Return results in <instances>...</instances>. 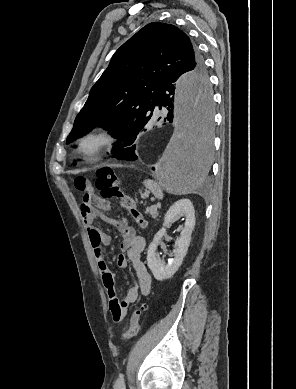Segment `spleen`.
Returning a JSON list of instances; mask_svg holds the SVG:
<instances>
[{
    "label": "spleen",
    "mask_w": 296,
    "mask_h": 389,
    "mask_svg": "<svg viewBox=\"0 0 296 389\" xmlns=\"http://www.w3.org/2000/svg\"><path fill=\"white\" fill-rule=\"evenodd\" d=\"M195 180L196 179L193 178V182H195ZM144 185L146 188H148L151 191V193L156 198H158L159 200L163 199L164 194H163L162 188L157 182L148 179V180L144 181Z\"/></svg>",
    "instance_id": "3e777b00"
}]
</instances>
